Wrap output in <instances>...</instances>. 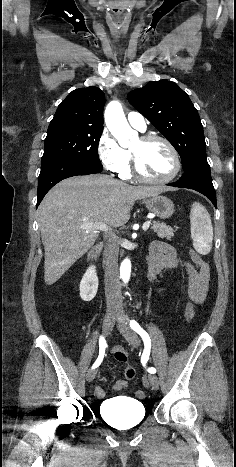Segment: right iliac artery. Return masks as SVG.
<instances>
[{"label": "right iliac artery", "instance_id": "1", "mask_svg": "<svg viewBox=\"0 0 236 467\" xmlns=\"http://www.w3.org/2000/svg\"><path fill=\"white\" fill-rule=\"evenodd\" d=\"M106 347H107V343H106L105 338L103 336H100V338H99V356H98L97 360L94 362V364L92 366V369L97 368L101 364V362H102V360L104 358V355H105Z\"/></svg>", "mask_w": 236, "mask_h": 467}]
</instances>
